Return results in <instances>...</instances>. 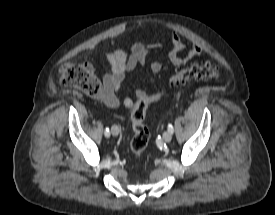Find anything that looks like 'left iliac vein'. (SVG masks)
Returning <instances> with one entry per match:
<instances>
[{
  "label": "left iliac vein",
  "instance_id": "obj_1",
  "mask_svg": "<svg viewBox=\"0 0 275 215\" xmlns=\"http://www.w3.org/2000/svg\"><path fill=\"white\" fill-rule=\"evenodd\" d=\"M172 139V133L170 131H166L164 134H163V140L165 142H170Z\"/></svg>",
  "mask_w": 275,
  "mask_h": 215
}]
</instances>
